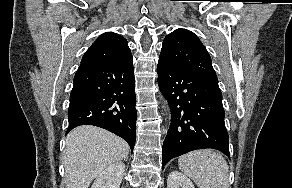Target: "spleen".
<instances>
[{
    "mask_svg": "<svg viewBox=\"0 0 292 188\" xmlns=\"http://www.w3.org/2000/svg\"><path fill=\"white\" fill-rule=\"evenodd\" d=\"M178 166L199 188H230L226 160L210 149L192 151L179 157Z\"/></svg>",
    "mask_w": 292,
    "mask_h": 188,
    "instance_id": "obj_1",
    "label": "spleen"
}]
</instances>
